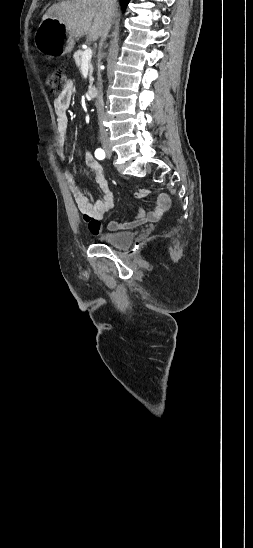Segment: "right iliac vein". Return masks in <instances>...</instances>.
Here are the masks:
<instances>
[{
  "label": "right iliac vein",
  "instance_id": "1",
  "mask_svg": "<svg viewBox=\"0 0 253 548\" xmlns=\"http://www.w3.org/2000/svg\"><path fill=\"white\" fill-rule=\"evenodd\" d=\"M103 148L107 153H111V146L109 143H104Z\"/></svg>",
  "mask_w": 253,
  "mask_h": 548
}]
</instances>
